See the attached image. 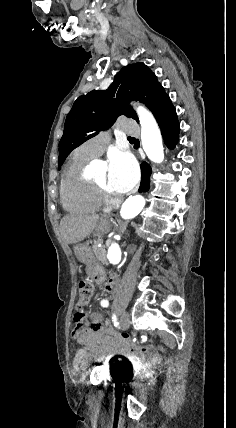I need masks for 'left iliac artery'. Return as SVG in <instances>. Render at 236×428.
Here are the masks:
<instances>
[{"mask_svg":"<svg viewBox=\"0 0 236 428\" xmlns=\"http://www.w3.org/2000/svg\"><path fill=\"white\" fill-rule=\"evenodd\" d=\"M101 305H102L103 307H108L109 303H108V301H107V300H102V301H101Z\"/></svg>","mask_w":236,"mask_h":428,"instance_id":"44dca946","label":"left iliac artery"}]
</instances>
